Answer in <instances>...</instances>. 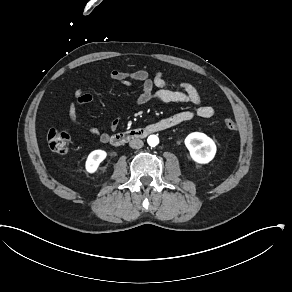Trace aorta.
Here are the masks:
<instances>
[{
	"instance_id": "762f6f07",
	"label": "aorta",
	"mask_w": 292,
	"mask_h": 292,
	"mask_svg": "<svg viewBox=\"0 0 292 292\" xmlns=\"http://www.w3.org/2000/svg\"><path fill=\"white\" fill-rule=\"evenodd\" d=\"M147 142L150 146H156L159 143V138L156 135H150Z\"/></svg>"
}]
</instances>
